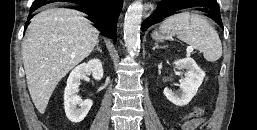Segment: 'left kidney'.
Returning <instances> with one entry per match:
<instances>
[{
  "label": "left kidney",
  "mask_w": 257,
  "mask_h": 130,
  "mask_svg": "<svg viewBox=\"0 0 257 130\" xmlns=\"http://www.w3.org/2000/svg\"><path fill=\"white\" fill-rule=\"evenodd\" d=\"M174 63L179 70L186 69L185 78L180 84V93H175L171 89L165 88L164 95L173 104L184 106L196 95L205 77V72L199 68L192 58L180 59Z\"/></svg>",
  "instance_id": "5707ae66"
}]
</instances>
